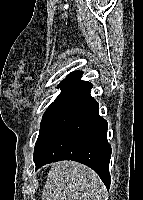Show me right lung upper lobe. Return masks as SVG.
Listing matches in <instances>:
<instances>
[{
    "instance_id": "1",
    "label": "right lung upper lobe",
    "mask_w": 143,
    "mask_h": 200,
    "mask_svg": "<svg viewBox=\"0 0 143 200\" xmlns=\"http://www.w3.org/2000/svg\"><path fill=\"white\" fill-rule=\"evenodd\" d=\"M77 72L75 71V72H72L71 74H69L67 77H66V79H68V78H70L71 76H73V75H75ZM66 79H64V80H66ZM63 80V81H64Z\"/></svg>"
}]
</instances>
